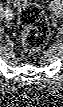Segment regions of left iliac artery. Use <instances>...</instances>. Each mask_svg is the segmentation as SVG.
Returning <instances> with one entry per match:
<instances>
[{"label":"left iliac artery","mask_w":63,"mask_h":107,"mask_svg":"<svg viewBox=\"0 0 63 107\" xmlns=\"http://www.w3.org/2000/svg\"><path fill=\"white\" fill-rule=\"evenodd\" d=\"M59 1H60V0H54V1H52V4L57 5V4H59Z\"/></svg>","instance_id":"44dca946"}]
</instances>
